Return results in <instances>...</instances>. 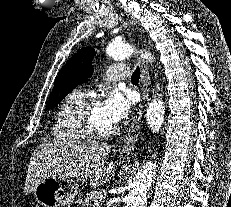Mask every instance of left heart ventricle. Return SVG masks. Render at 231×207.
I'll return each mask as SVG.
<instances>
[{"label":"left heart ventricle","instance_id":"1","mask_svg":"<svg viewBox=\"0 0 231 207\" xmlns=\"http://www.w3.org/2000/svg\"><path fill=\"white\" fill-rule=\"evenodd\" d=\"M91 120L93 126L99 131L110 130L115 126L105 115L101 102L92 108Z\"/></svg>","mask_w":231,"mask_h":207}]
</instances>
